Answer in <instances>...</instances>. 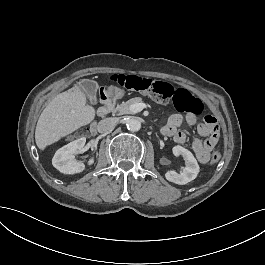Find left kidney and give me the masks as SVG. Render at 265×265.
Listing matches in <instances>:
<instances>
[{"mask_svg":"<svg viewBox=\"0 0 265 265\" xmlns=\"http://www.w3.org/2000/svg\"><path fill=\"white\" fill-rule=\"evenodd\" d=\"M172 151L175 156H183L185 167L180 173H177L176 171H168L165 174L166 179L179 185H184L194 180L199 173V165L193 154L180 145L174 146Z\"/></svg>","mask_w":265,"mask_h":265,"instance_id":"1","label":"left kidney"}]
</instances>
